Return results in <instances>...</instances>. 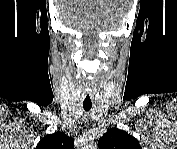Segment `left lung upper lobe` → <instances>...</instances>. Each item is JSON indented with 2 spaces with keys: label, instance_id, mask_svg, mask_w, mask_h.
Segmentation results:
<instances>
[{
  "label": "left lung upper lobe",
  "instance_id": "1",
  "mask_svg": "<svg viewBox=\"0 0 177 149\" xmlns=\"http://www.w3.org/2000/svg\"><path fill=\"white\" fill-rule=\"evenodd\" d=\"M98 142L100 149H140L136 138L118 128L109 129Z\"/></svg>",
  "mask_w": 177,
  "mask_h": 149
}]
</instances>
